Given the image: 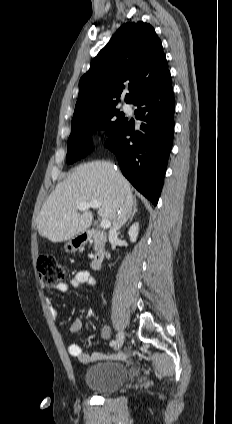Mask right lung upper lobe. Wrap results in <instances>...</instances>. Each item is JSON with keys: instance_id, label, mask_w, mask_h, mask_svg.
<instances>
[{"instance_id": "cb5924a9", "label": "right lung upper lobe", "mask_w": 232, "mask_h": 424, "mask_svg": "<svg viewBox=\"0 0 232 424\" xmlns=\"http://www.w3.org/2000/svg\"><path fill=\"white\" fill-rule=\"evenodd\" d=\"M167 71V60L154 28L141 21L125 23L80 79L73 118L116 105L125 83L129 87L125 101L133 103L154 88Z\"/></svg>"}]
</instances>
